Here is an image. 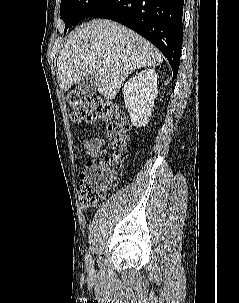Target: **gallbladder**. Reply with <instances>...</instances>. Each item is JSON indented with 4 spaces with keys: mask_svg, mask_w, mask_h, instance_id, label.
<instances>
[{
    "mask_svg": "<svg viewBox=\"0 0 239 303\" xmlns=\"http://www.w3.org/2000/svg\"><path fill=\"white\" fill-rule=\"evenodd\" d=\"M76 89L84 96H93L96 92V80L88 76L75 84Z\"/></svg>",
    "mask_w": 239,
    "mask_h": 303,
    "instance_id": "gallbladder-1",
    "label": "gallbladder"
}]
</instances>
